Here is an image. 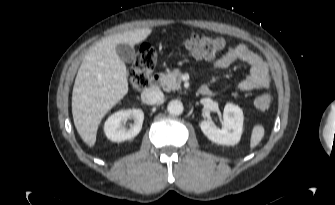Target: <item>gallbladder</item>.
Wrapping results in <instances>:
<instances>
[{"label":"gallbladder","instance_id":"1","mask_svg":"<svg viewBox=\"0 0 335 205\" xmlns=\"http://www.w3.org/2000/svg\"><path fill=\"white\" fill-rule=\"evenodd\" d=\"M115 50L123 62L130 64L134 61L135 49L132 45L127 43L118 44Z\"/></svg>","mask_w":335,"mask_h":205}]
</instances>
